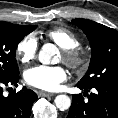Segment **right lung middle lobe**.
<instances>
[{
    "label": "right lung middle lobe",
    "mask_w": 118,
    "mask_h": 118,
    "mask_svg": "<svg viewBox=\"0 0 118 118\" xmlns=\"http://www.w3.org/2000/svg\"><path fill=\"white\" fill-rule=\"evenodd\" d=\"M31 31L21 25L0 21V80L19 74L15 59L17 45Z\"/></svg>",
    "instance_id": "right-lung-middle-lobe-1"
}]
</instances>
